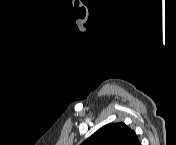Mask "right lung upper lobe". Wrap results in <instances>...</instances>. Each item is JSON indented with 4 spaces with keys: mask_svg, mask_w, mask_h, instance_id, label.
I'll use <instances>...</instances> for the list:
<instances>
[{
    "mask_svg": "<svg viewBox=\"0 0 176 145\" xmlns=\"http://www.w3.org/2000/svg\"><path fill=\"white\" fill-rule=\"evenodd\" d=\"M82 145H140L137 135L123 123L108 124L100 128Z\"/></svg>",
    "mask_w": 176,
    "mask_h": 145,
    "instance_id": "right-lung-upper-lobe-1",
    "label": "right lung upper lobe"
}]
</instances>
